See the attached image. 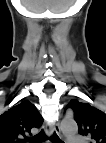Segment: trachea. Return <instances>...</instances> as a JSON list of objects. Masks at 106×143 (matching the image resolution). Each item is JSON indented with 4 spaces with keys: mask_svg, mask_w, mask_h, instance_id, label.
Segmentation results:
<instances>
[{
    "mask_svg": "<svg viewBox=\"0 0 106 143\" xmlns=\"http://www.w3.org/2000/svg\"><path fill=\"white\" fill-rule=\"evenodd\" d=\"M48 139V137L44 134V131L42 130L39 134L32 138L26 139V141L37 143ZM50 141L53 143H61V140L58 138L56 134H54L52 137H50Z\"/></svg>",
    "mask_w": 106,
    "mask_h": 143,
    "instance_id": "1",
    "label": "trachea"
}]
</instances>
